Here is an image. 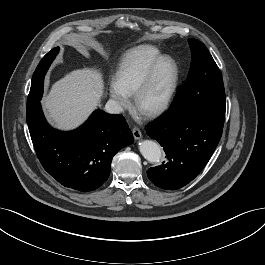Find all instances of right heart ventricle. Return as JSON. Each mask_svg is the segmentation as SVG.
<instances>
[{
    "instance_id": "right-heart-ventricle-1",
    "label": "right heart ventricle",
    "mask_w": 265,
    "mask_h": 265,
    "mask_svg": "<svg viewBox=\"0 0 265 265\" xmlns=\"http://www.w3.org/2000/svg\"><path fill=\"white\" fill-rule=\"evenodd\" d=\"M161 56L160 50L152 45H140L129 50L114 75L115 86L127 97L133 95L152 63Z\"/></svg>"
}]
</instances>
